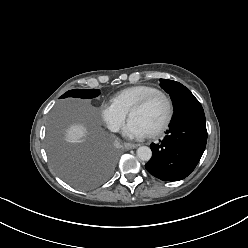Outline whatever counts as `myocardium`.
Wrapping results in <instances>:
<instances>
[{
    "instance_id": "f54148a6",
    "label": "myocardium",
    "mask_w": 248,
    "mask_h": 248,
    "mask_svg": "<svg viewBox=\"0 0 248 248\" xmlns=\"http://www.w3.org/2000/svg\"><path fill=\"white\" fill-rule=\"evenodd\" d=\"M158 97L162 98L166 104V114H165V117L162 120V122L156 128H154L153 130H151L150 132L147 133L151 137H155V136H158L161 133H163L168 128V126H169V124L173 118L174 105H173V102H172L171 98L169 97V95H167L163 91L157 90L153 93L146 95L145 97H143L139 101H137L135 104L132 105V107L128 111V116L130 117L132 112L145 108L154 99H156Z\"/></svg>"
}]
</instances>
